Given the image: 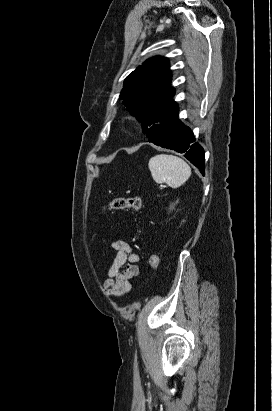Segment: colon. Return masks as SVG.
Segmentation results:
<instances>
[{
  "mask_svg": "<svg viewBox=\"0 0 272 411\" xmlns=\"http://www.w3.org/2000/svg\"><path fill=\"white\" fill-rule=\"evenodd\" d=\"M112 209V210H134L136 212L140 211L142 208V199L139 196L134 197H116L114 198L107 206H104L103 209ZM149 263L151 267L158 271L160 269L161 261L156 254H151L149 256Z\"/></svg>",
  "mask_w": 272,
  "mask_h": 411,
  "instance_id": "colon-1",
  "label": "colon"
}]
</instances>
